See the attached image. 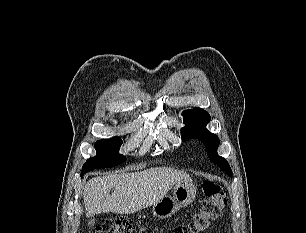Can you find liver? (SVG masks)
<instances>
[{"mask_svg":"<svg viewBox=\"0 0 306 233\" xmlns=\"http://www.w3.org/2000/svg\"><path fill=\"white\" fill-rule=\"evenodd\" d=\"M181 181H191L182 171L166 167L90 179L83 189L86 217L113 212L131 214L161 200ZM112 188L114 192L110 195Z\"/></svg>","mask_w":306,"mask_h":233,"instance_id":"liver-1","label":"liver"}]
</instances>
